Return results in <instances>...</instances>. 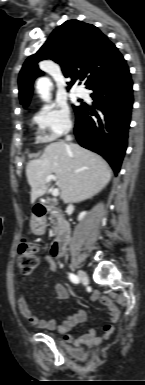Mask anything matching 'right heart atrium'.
<instances>
[{
	"mask_svg": "<svg viewBox=\"0 0 145 385\" xmlns=\"http://www.w3.org/2000/svg\"><path fill=\"white\" fill-rule=\"evenodd\" d=\"M33 120L39 129L40 138L45 142L58 139L72 128L70 110L66 104L60 102L44 105Z\"/></svg>",
	"mask_w": 145,
	"mask_h": 385,
	"instance_id": "1",
	"label": "right heart atrium"
}]
</instances>
